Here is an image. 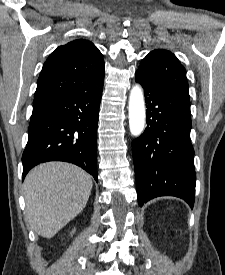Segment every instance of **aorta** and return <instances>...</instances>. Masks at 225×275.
Instances as JSON below:
<instances>
[{"mask_svg":"<svg viewBox=\"0 0 225 275\" xmlns=\"http://www.w3.org/2000/svg\"><path fill=\"white\" fill-rule=\"evenodd\" d=\"M129 127L133 136H139L145 127L146 113L143 90L135 85L129 96Z\"/></svg>","mask_w":225,"mask_h":275,"instance_id":"762f6f07","label":"aorta"}]
</instances>
